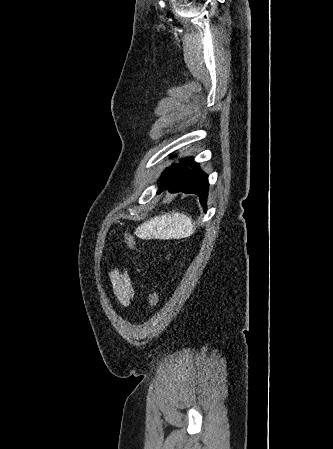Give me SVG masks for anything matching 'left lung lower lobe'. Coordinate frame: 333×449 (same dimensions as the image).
I'll return each instance as SVG.
<instances>
[{"mask_svg": "<svg viewBox=\"0 0 333 449\" xmlns=\"http://www.w3.org/2000/svg\"><path fill=\"white\" fill-rule=\"evenodd\" d=\"M162 190H170L172 193L184 192L194 193L200 198V202L205 205L208 193V176L199 168L198 163L193 158H187L172 173L160 179Z\"/></svg>", "mask_w": 333, "mask_h": 449, "instance_id": "1", "label": "left lung lower lobe"}]
</instances>
